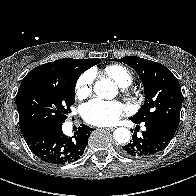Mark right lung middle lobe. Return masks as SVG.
I'll return each instance as SVG.
<instances>
[{"label": "right lung middle lobe", "instance_id": "dd1d6c3e", "mask_svg": "<svg viewBox=\"0 0 196 196\" xmlns=\"http://www.w3.org/2000/svg\"><path fill=\"white\" fill-rule=\"evenodd\" d=\"M73 72H48L22 81L16 95L19 124L23 134L63 123L75 102Z\"/></svg>", "mask_w": 196, "mask_h": 196}]
</instances>
